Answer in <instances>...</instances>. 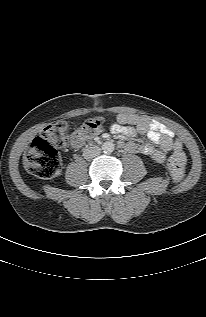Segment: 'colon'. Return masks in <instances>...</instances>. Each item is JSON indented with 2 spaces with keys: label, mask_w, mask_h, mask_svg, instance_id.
Wrapping results in <instances>:
<instances>
[{
  "label": "colon",
  "mask_w": 206,
  "mask_h": 317,
  "mask_svg": "<svg viewBox=\"0 0 206 317\" xmlns=\"http://www.w3.org/2000/svg\"><path fill=\"white\" fill-rule=\"evenodd\" d=\"M103 127L101 117H93L85 121L75 132L79 140H86L98 134ZM68 143V126L65 122H57L43 129L41 134L30 144L24 156L26 170L42 179H53L62 172V159L58 148ZM186 156L183 152H175L168 160L167 166L174 178L179 181L185 175Z\"/></svg>",
  "instance_id": "1"
}]
</instances>
